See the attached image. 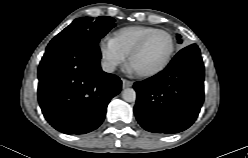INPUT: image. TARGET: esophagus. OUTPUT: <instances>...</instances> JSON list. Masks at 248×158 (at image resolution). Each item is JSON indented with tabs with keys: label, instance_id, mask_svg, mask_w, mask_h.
<instances>
[{
	"label": "esophagus",
	"instance_id": "obj_1",
	"mask_svg": "<svg viewBox=\"0 0 248 158\" xmlns=\"http://www.w3.org/2000/svg\"><path fill=\"white\" fill-rule=\"evenodd\" d=\"M132 84H133L132 81L127 80V79H122V88L123 89L131 87Z\"/></svg>",
	"mask_w": 248,
	"mask_h": 158
}]
</instances>
